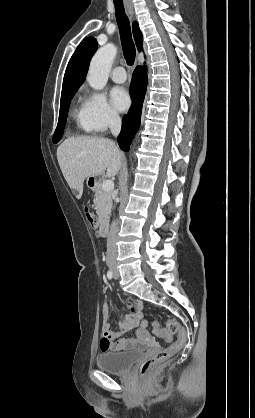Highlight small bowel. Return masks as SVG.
I'll list each match as a JSON object with an SVG mask.
<instances>
[{
	"label": "small bowel",
	"instance_id": "c3829d8e",
	"mask_svg": "<svg viewBox=\"0 0 255 418\" xmlns=\"http://www.w3.org/2000/svg\"><path fill=\"white\" fill-rule=\"evenodd\" d=\"M127 306L129 308V313L124 319H121L119 321L117 330H112L110 328V324L106 320L103 321L101 338H100V343H99V348L101 351L103 352L122 351V350L132 347L136 342L135 338L119 339V337L123 333L133 328H137L138 336L140 337L147 336V331H146L147 320L143 317L140 306L135 305L131 302H128ZM102 312L105 318L109 312L108 304L103 305Z\"/></svg>",
	"mask_w": 255,
	"mask_h": 418
}]
</instances>
